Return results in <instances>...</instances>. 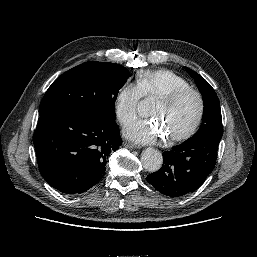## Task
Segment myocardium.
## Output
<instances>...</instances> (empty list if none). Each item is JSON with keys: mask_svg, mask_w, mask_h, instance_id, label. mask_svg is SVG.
Instances as JSON below:
<instances>
[{"mask_svg": "<svg viewBox=\"0 0 257 257\" xmlns=\"http://www.w3.org/2000/svg\"><path fill=\"white\" fill-rule=\"evenodd\" d=\"M189 94L194 95L195 98L197 99V102H198L197 115H196L194 121L192 122V124L184 132L170 137V139L172 141L186 140L195 133V131L200 126V124L203 120V117H204L205 100H204V97L201 94V92L192 87H185V88L177 89V90H174V91L158 98V102H160V103H163L166 105H173L176 102H178L180 99H182L184 96L189 95Z\"/></svg>", "mask_w": 257, "mask_h": 257, "instance_id": "1", "label": "myocardium"}]
</instances>
